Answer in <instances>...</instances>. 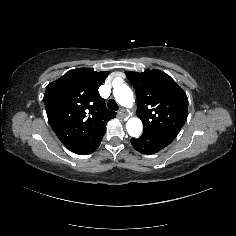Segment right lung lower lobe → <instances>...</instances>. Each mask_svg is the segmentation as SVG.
<instances>
[{"label": "right lung lower lobe", "instance_id": "1", "mask_svg": "<svg viewBox=\"0 0 236 236\" xmlns=\"http://www.w3.org/2000/svg\"><path fill=\"white\" fill-rule=\"evenodd\" d=\"M105 131L106 129L95 137L90 138L87 141L70 148L69 150L80 155H86L94 152L99 147Z\"/></svg>", "mask_w": 236, "mask_h": 236}]
</instances>
